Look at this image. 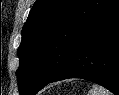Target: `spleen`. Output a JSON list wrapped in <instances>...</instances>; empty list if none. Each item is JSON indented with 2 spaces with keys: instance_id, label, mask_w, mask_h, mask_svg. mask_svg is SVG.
Returning <instances> with one entry per match:
<instances>
[{
  "instance_id": "3e777b00",
  "label": "spleen",
  "mask_w": 119,
  "mask_h": 95,
  "mask_svg": "<svg viewBox=\"0 0 119 95\" xmlns=\"http://www.w3.org/2000/svg\"><path fill=\"white\" fill-rule=\"evenodd\" d=\"M88 95H112V93L102 86L93 84L92 89L88 92Z\"/></svg>"
}]
</instances>
